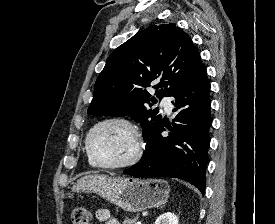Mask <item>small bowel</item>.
<instances>
[{
	"label": "small bowel",
	"mask_w": 275,
	"mask_h": 224,
	"mask_svg": "<svg viewBox=\"0 0 275 224\" xmlns=\"http://www.w3.org/2000/svg\"><path fill=\"white\" fill-rule=\"evenodd\" d=\"M96 218L103 224H120L119 221L110 216V213L105 209H99L96 211Z\"/></svg>",
	"instance_id": "1"
}]
</instances>
